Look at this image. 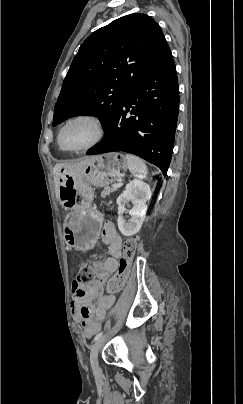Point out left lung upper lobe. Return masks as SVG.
Instances as JSON below:
<instances>
[{
  "label": "left lung upper lobe",
  "instance_id": "obj_1",
  "mask_svg": "<svg viewBox=\"0 0 243 404\" xmlns=\"http://www.w3.org/2000/svg\"><path fill=\"white\" fill-rule=\"evenodd\" d=\"M160 26L129 14L92 33L80 46L54 108L53 125L93 115L105 128L133 87L170 54Z\"/></svg>",
  "mask_w": 243,
  "mask_h": 404
}]
</instances>
